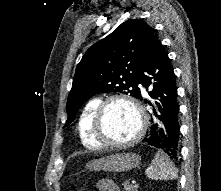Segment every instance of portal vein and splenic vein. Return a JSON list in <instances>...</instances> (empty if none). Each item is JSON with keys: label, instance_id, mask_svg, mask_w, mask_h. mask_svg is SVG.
<instances>
[{"label": "portal vein and splenic vein", "instance_id": "18ae733b", "mask_svg": "<svg viewBox=\"0 0 221 191\" xmlns=\"http://www.w3.org/2000/svg\"><path fill=\"white\" fill-rule=\"evenodd\" d=\"M133 183H134V187H135V188H138V187H139V185L136 184V182H133Z\"/></svg>", "mask_w": 221, "mask_h": 191}]
</instances>
